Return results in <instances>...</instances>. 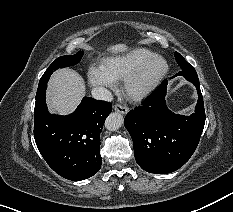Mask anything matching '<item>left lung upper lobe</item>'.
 <instances>
[{
	"label": "left lung upper lobe",
	"instance_id": "left-lung-upper-lobe-1",
	"mask_svg": "<svg viewBox=\"0 0 233 212\" xmlns=\"http://www.w3.org/2000/svg\"><path fill=\"white\" fill-rule=\"evenodd\" d=\"M175 58L182 71L177 73L176 75L183 74L185 72H196L194 67L190 65L178 52H175Z\"/></svg>",
	"mask_w": 233,
	"mask_h": 212
}]
</instances>
